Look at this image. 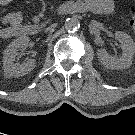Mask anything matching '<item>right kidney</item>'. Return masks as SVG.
<instances>
[{"mask_svg":"<svg viewBox=\"0 0 135 135\" xmlns=\"http://www.w3.org/2000/svg\"><path fill=\"white\" fill-rule=\"evenodd\" d=\"M28 44L29 38L22 36L12 41L4 50L3 70L5 75L9 77H19L28 74L35 68V59H28L22 64L14 63L18 50L20 48L27 47Z\"/></svg>","mask_w":135,"mask_h":135,"instance_id":"ca27d5eb","label":"right kidney"}]
</instances>
